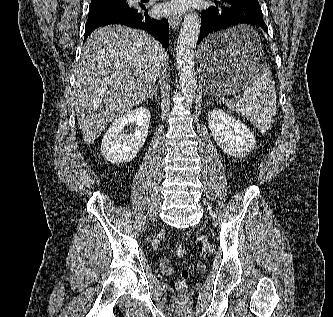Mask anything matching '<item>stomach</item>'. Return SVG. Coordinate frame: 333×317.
Wrapping results in <instances>:
<instances>
[{"mask_svg": "<svg viewBox=\"0 0 333 317\" xmlns=\"http://www.w3.org/2000/svg\"><path fill=\"white\" fill-rule=\"evenodd\" d=\"M257 40V41H253ZM203 81L199 88L214 96H226L245 89L264 74L266 62H261V44L253 24H230V29L206 33L200 48Z\"/></svg>", "mask_w": 333, "mask_h": 317, "instance_id": "1", "label": "stomach"}]
</instances>
